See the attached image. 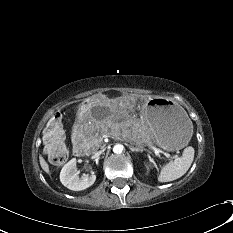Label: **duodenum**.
Masks as SVG:
<instances>
[{"mask_svg":"<svg viewBox=\"0 0 233 233\" xmlns=\"http://www.w3.org/2000/svg\"><path fill=\"white\" fill-rule=\"evenodd\" d=\"M79 128L73 133V151L77 155H81L83 152V145L78 140Z\"/></svg>","mask_w":233,"mask_h":233,"instance_id":"1","label":"duodenum"}]
</instances>
